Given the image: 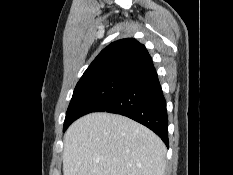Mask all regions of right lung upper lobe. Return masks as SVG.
I'll use <instances>...</instances> for the list:
<instances>
[{"mask_svg":"<svg viewBox=\"0 0 233 175\" xmlns=\"http://www.w3.org/2000/svg\"><path fill=\"white\" fill-rule=\"evenodd\" d=\"M152 68H154L152 59L144 45L132 38L121 39L100 52L80 81L106 75L135 78Z\"/></svg>","mask_w":233,"mask_h":175,"instance_id":"cb5924a9","label":"right lung upper lobe"}]
</instances>
